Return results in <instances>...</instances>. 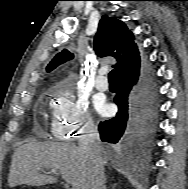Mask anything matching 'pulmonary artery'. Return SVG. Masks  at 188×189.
Returning <instances> with one entry per match:
<instances>
[{
	"label": "pulmonary artery",
	"instance_id": "1",
	"mask_svg": "<svg viewBox=\"0 0 188 189\" xmlns=\"http://www.w3.org/2000/svg\"><path fill=\"white\" fill-rule=\"evenodd\" d=\"M94 85L99 91H106L109 87L107 78L105 77V70L100 69L97 73Z\"/></svg>",
	"mask_w": 188,
	"mask_h": 189
}]
</instances>
